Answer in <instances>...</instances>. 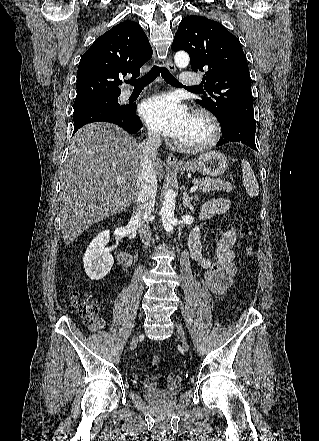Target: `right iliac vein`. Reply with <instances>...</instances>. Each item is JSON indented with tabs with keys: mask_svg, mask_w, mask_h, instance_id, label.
<instances>
[{
	"mask_svg": "<svg viewBox=\"0 0 319 441\" xmlns=\"http://www.w3.org/2000/svg\"><path fill=\"white\" fill-rule=\"evenodd\" d=\"M138 332H136V334L133 336V338H132V343L133 344H136L137 343V340H138Z\"/></svg>",
	"mask_w": 319,
	"mask_h": 441,
	"instance_id": "obj_1",
	"label": "right iliac vein"
}]
</instances>
